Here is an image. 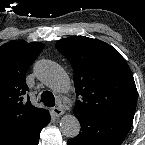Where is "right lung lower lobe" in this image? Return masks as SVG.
<instances>
[{"label":"right lung lower lobe","mask_w":145,"mask_h":145,"mask_svg":"<svg viewBox=\"0 0 145 145\" xmlns=\"http://www.w3.org/2000/svg\"><path fill=\"white\" fill-rule=\"evenodd\" d=\"M50 122L47 112L41 119L20 128L10 137L0 142V145H38L40 131Z\"/></svg>","instance_id":"obj_1"}]
</instances>
